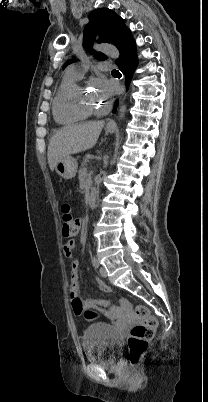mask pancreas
Returning a JSON list of instances; mask_svg holds the SVG:
<instances>
[{"instance_id": "cf45deb5", "label": "pancreas", "mask_w": 208, "mask_h": 402, "mask_svg": "<svg viewBox=\"0 0 208 402\" xmlns=\"http://www.w3.org/2000/svg\"><path fill=\"white\" fill-rule=\"evenodd\" d=\"M90 158H92V156H90V154H87L86 158H84V162H82L81 164L82 168H80V170H86L88 166L87 162H89Z\"/></svg>"}]
</instances>
